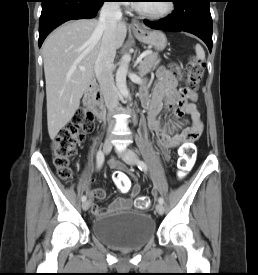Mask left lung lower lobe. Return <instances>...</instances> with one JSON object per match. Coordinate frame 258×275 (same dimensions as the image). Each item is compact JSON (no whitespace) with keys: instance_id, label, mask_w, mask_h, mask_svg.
<instances>
[{"instance_id":"0a47b994","label":"left lung lower lobe","mask_w":258,"mask_h":275,"mask_svg":"<svg viewBox=\"0 0 258 275\" xmlns=\"http://www.w3.org/2000/svg\"><path fill=\"white\" fill-rule=\"evenodd\" d=\"M211 0H173L174 12L163 21H144L152 29L166 31H185L202 39L212 50Z\"/></svg>"}]
</instances>
